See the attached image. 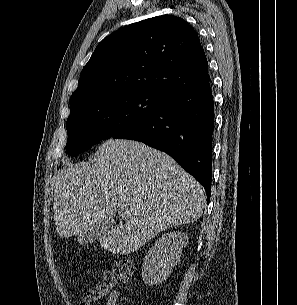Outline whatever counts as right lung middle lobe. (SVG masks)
<instances>
[{
  "mask_svg": "<svg viewBox=\"0 0 297 305\" xmlns=\"http://www.w3.org/2000/svg\"><path fill=\"white\" fill-rule=\"evenodd\" d=\"M166 97L131 92L108 96L71 111L67 119L66 152L71 156L113 137L153 113Z\"/></svg>",
  "mask_w": 297,
  "mask_h": 305,
  "instance_id": "1",
  "label": "right lung middle lobe"
}]
</instances>
